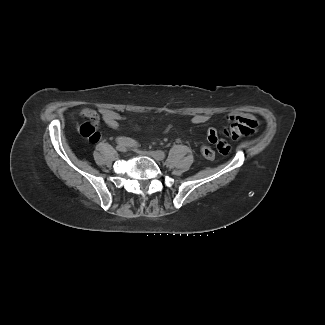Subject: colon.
Instances as JSON below:
<instances>
[{
    "label": "colon",
    "instance_id": "obj_1",
    "mask_svg": "<svg viewBox=\"0 0 325 325\" xmlns=\"http://www.w3.org/2000/svg\"><path fill=\"white\" fill-rule=\"evenodd\" d=\"M80 133L91 142H97L100 138L99 132L90 122L84 123L80 127ZM201 153L207 160H213L215 158V152L210 146L203 145L201 147Z\"/></svg>",
    "mask_w": 325,
    "mask_h": 325
}]
</instances>
